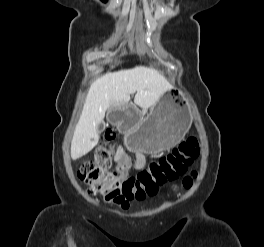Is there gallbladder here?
I'll return each instance as SVG.
<instances>
[{
    "mask_svg": "<svg viewBox=\"0 0 264 247\" xmlns=\"http://www.w3.org/2000/svg\"><path fill=\"white\" fill-rule=\"evenodd\" d=\"M98 123H100V125H98L96 133H100V132L103 131V129L105 128V127H104V126H105V124H104L105 122L100 121V122H98Z\"/></svg>",
    "mask_w": 264,
    "mask_h": 247,
    "instance_id": "obj_1",
    "label": "gallbladder"
}]
</instances>
